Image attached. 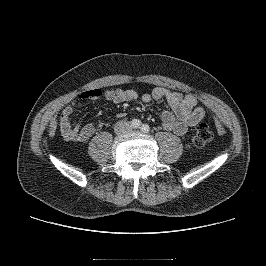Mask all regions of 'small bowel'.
Instances as JSON below:
<instances>
[{
  "label": "small bowel",
  "instance_id": "obj_1",
  "mask_svg": "<svg viewBox=\"0 0 266 266\" xmlns=\"http://www.w3.org/2000/svg\"><path fill=\"white\" fill-rule=\"evenodd\" d=\"M104 97L113 103H128L136 101L139 95L134 90L124 89H91L82 93L74 102L67 105L59 117V128L64 139L74 142H85L95 133L96 126L90 122L81 126L71 121L72 115L90 102ZM140 99L147 103L152 100H164L169 109L161 114L162 127L178 136L196 126L205 116V110L194 95H183L166 87H156L149 93L141 95ZM124 114L119 113V117Z\"/></svg>",
  "mask_w": 266,
  "mask_h": 266
}]
</instances>
